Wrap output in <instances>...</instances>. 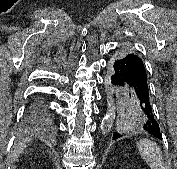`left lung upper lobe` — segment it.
I'll list each match as a JSON object with an SVG mask.
<instances>
[{
	"instance_id": "5c2ea615",
	"label": "left lung upper lobe",
	"mask_w": 177,
	"mask_h": 169,
	"mask_svg": "<svg viewBox=\"0 0 177 169\" xmlns=\"http://www.w3.org/2000/svg\"><path fill=\"white\" fill-rule=\"evenodd\" d=\"M127 54H131L130 50H128V49L119 50L115 55V59L122 58V57L126 56Z\"/></svg>"
}]
</instances>
